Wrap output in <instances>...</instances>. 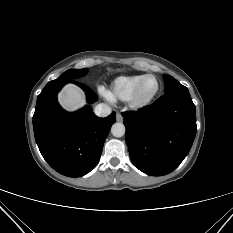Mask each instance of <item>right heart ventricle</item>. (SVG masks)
I'll return each instance as SVG.
<instances>
[{"instance_id": "obj_1", "label": "right heart ventricle", "mask_w": 233, "mask_h": 233, "mask_svg": "<svg viewBox=\"0 0 233 233\" xmlns=\"http://www.w3.org/2000/svg\"><path fill=\"white\" fill-rule=\"evenodd\" d=\"M145 75L121 76L114 80L108 92L109 97L126 101L130 98L135 87Z\"/></svg>"}]
</instances>
